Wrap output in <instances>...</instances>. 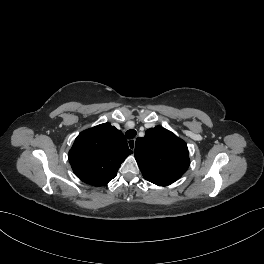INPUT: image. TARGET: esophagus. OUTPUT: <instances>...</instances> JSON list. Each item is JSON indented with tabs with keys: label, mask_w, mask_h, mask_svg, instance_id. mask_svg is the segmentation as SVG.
<instances>
[{
	"label": "esophagus",
	"mask_w": 264,
	"mask_h": 264,
	"mask_svg": "<svg viewBox=\"0 0 264 264\" xmlns=\"http://www.w3.org/2000/svg\"><path fill=\"white\" fill-rule=\"evenodd\" d=\"M128 146H129V148H130L131 150L134 151V149H135V139H130V140H128Z\"/></svg>",
	"instance_id": "obj_1"
}]
</instances>
